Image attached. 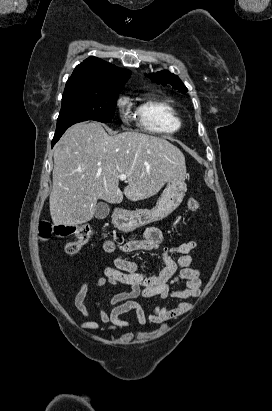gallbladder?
Wrapping results in <instances>:
<instances>
[{
	"instance_id": "bac80fb5",
	"label": "gallbladder",
	"mask_w": 272,
	"mask_h": 411,
	"mask_svg": "<svg viewBox=\"0 0 272 411\" xmlns=\"http://www.w3.org/2000/svg\"><path fill=\"white\" fill-rule=\"evenodd\" d=\"M110 208L107 203L100 202L96 205L95 208V218L97 219H104L108 216Z\"/></svg>"
}]
</instances>
